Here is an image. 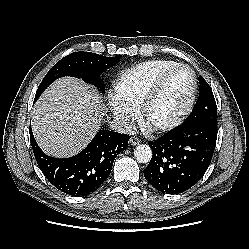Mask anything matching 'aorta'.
Wrapping results in <instances>:
<instances>
[{"mask_svg": "<svg viewBox=\"0 0 249 249\" xmlns=\"http://www.w3.org/2000/svg\"><path fill=\"white\" fill-rule=\"evenodd\" d=\"M134 157L139 163H148L152 159V150L148 145L139 144L134 149Z\"/></svg>", "mask_w": 249, "mask_h": 249, "instance_id": "aorta-1", "label": "aorta"}]
</instances>
